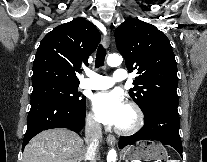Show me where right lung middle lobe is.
<instances>
[{
	"instance_id": "1",
	"label": "right lung middle lobe",
	"mask_w": 207,
	"mask_h": 162,
	"mask_svg": "<svg viewBox=\"0 0 207 162\" xmlns=\"http://www.w3.org/2000/svg\"><path fill=\"white\" fill-rule=\"evenodd\" d=\"M78 85L48 84L34 87L31 100L42 97H57L72 105L84 104L85 97H80Z\"/></svg>"
}]
</instances>
